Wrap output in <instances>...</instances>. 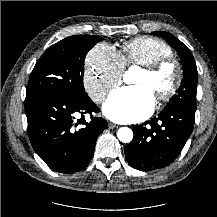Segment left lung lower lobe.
<instances>
[{
	"instance_id": "left-lung-lower-lobe-1",
	"label": "left lung lower lobe",
	"mask_w": 217,
	"mask_h": 217,
	"mask_svg": "<svg viewBox=\"0 0 217 217\" xmlns=\"http://www.w3.org/2000/svg\"><path fill=\"white\" fill-rule=\"evenodd\" d=\"M196 109L178 106L133 126L134 137L125 148L131 167L152 171L171 164L181 153L194 127Z\"/></svg>"
}]
</instances>
